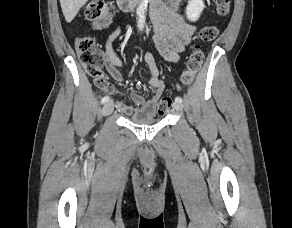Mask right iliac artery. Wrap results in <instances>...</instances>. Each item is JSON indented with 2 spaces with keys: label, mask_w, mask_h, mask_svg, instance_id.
Masks as SVG:
<instances>
[{
  "label": "right iliac artery",
  "mask_w": 292,
  "mask_h": 228,
  "mask_svg": "<svg viewBox=\"0 0 292 228\" xmlns=\"http://www.w3.org/2000/svg\"><path fill=\"white\" fill-rule=\"evenodd\" d=\"M108 101H109V96H105V97L102 98L101 103L104 104V103H106Z\"/></svg>",
  "instance_id": "right-iliac-artery-1"
}]
</instances>
